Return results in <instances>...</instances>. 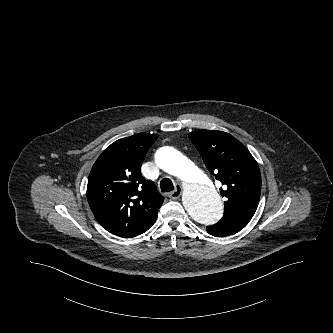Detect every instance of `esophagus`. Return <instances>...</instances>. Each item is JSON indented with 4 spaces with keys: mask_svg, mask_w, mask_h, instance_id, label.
<instances>
[{
    "mask_svg": "<svg viewBox=\"0 0 333 333\" xmlns=\"http://www.w3.org/2000/svg\"><path fill=\"white\" fill-rule=\"evenodd\" d=\"M182 194V186L176 185L175 190L168 194V197L171 199H178Z\"/></svg>",
    "mask_w": 333,
    "mask_h": 333,
    "instance_id": "1",
    "label": "esophagus"
}]
</instances>
